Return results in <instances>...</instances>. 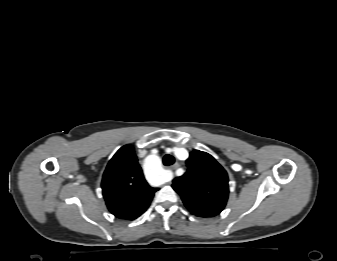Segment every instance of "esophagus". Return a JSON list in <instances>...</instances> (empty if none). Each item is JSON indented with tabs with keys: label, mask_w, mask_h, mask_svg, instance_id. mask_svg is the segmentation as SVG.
<instances>
[{
	"label": "esophagus",
	"mask_w": 337,
	"mask_h": 261,
	"mask_svg": "<svg viewBox=\"0 0 337 261\" xmlns=\"http://www.w3.org/2000/svg\"><path fill=\"white\" fill-rule=\"evenodd\" d=\"M179 167V164L178 163H175L174 165H172L171 167H170V169H176V168H178Z\"/></svg>",
	"instance_id": "obj_1"
}]
</instances>
